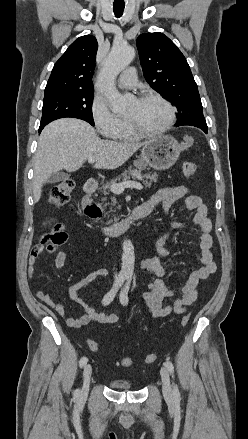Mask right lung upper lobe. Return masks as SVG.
<instances>
[{"label": "right lung upper lobe", "mask_w": 248, "mask_h": 439, "mask_svg": "<svg viewBox=\"0 0 248 439\" xmlns=\"http://www.w3.org/2000/svg\"><path fill=\"white\" fill-rule=\"evenodd\" d=\"M97 48V40L92 35L76 39L55 63L45 88V95L93 90L92 75Z\"/></svg>", "instance_id": "obj_1"}]
</instances>
